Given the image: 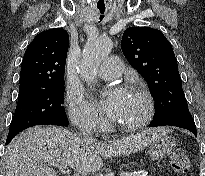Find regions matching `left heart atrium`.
Here are the masks:
<instances>
[{
	"label": "left heart atrium",
	"instance_id": "left-heart-atrium-1",
	"mask_svg": "<svg viewBox=\"0 0 205 176\" xmlns=\"http://www.w3.org/2000/svg\"><path fill=\"white\" fill-rule=\"evenodd\" d=\"M130 92L125 88L113 90L103 103L104 111L112 118H116L121 108L125 105Z\"/></svg>",
	"mask_w": 205,
	"mask_h": 176
}]
</instances>
